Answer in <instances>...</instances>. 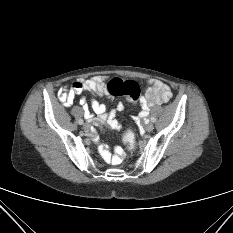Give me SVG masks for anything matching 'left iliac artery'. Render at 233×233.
I'll list each match as a JSON object with an SVG mask.
<instances>
[{
  "instance_id": "44dca946",
  "label": "left iliac artery",
  "mask_w": 233,
  "mask_h": 233,
  "mask_svg": "<svg viewBox=\"0 0 233 233\" xmlns=\"http://www.w3.org/2000/svg\"><path fill=\"white\" fill-rule=\"evenodd\" d=\"M151 123L155 124L156 123V119L155 118H151Z\"/></svg>"
}]
</instances>
